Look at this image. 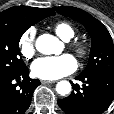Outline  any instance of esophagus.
I'll return each instance as SVG.
<instances>
[{"label":"esophagus","instance_id":"34e87169","mask_svg":"<svg viewBox=\"0 0 114 114\" xmlns=\"http://www.w3.org/2000/svg\"><path fill=\"white\" fill-rule=\"evenodd\" d=\"M41 83L42 84H53V83H55V81L42 80Z\"/></svg>","mask_w":114,"mask_h":114}]
</instances>
